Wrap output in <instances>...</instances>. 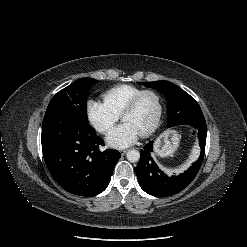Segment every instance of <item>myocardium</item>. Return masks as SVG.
<instances>
[{
    "mask_svg": "<svg viewBox=\"0 0 247 247\" xmlns=\"http://www.w3.org/2000/svg\"><path fill=\"white\" fill-rule=\"evenodd\" d=\"M151 94L153 95L158 103V113H157V117L154 121V123L152 124V126L150 128H148L147 130H145L144 132H142L140 134L141 137H148L150 135H152L160 126L162 118H163V113H164V103H163V99L161 97V95L155 91V90H151V89H146L141 91L140 93H138L135 97H133V99L125 106V108L123 109V111L121 112V119L123 120V117L127 114L132 112L133 110L136 109V107L138 106L139 102L141 101V99L145 96Z\"/></svg>",
    "mask_w": 247,
    "mask_h": 247,
    "instance_id": "1",
    "label": "myocardium"
}]
</instances>
